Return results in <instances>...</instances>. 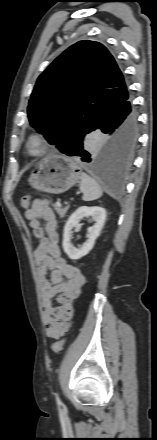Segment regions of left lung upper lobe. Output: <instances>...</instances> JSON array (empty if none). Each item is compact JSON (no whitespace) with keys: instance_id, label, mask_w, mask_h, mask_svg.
I'll list each match as a JSON object with an SVG mask.
<instances>
[{"instance_id":"5c2ea615","label":"left lung upper lobe","mask_w":157,"mask_h":440,"mask_svg":"<svg viewBox=\"0 0 157 440\" xmlns=\"http://www.w3.org/2000/svg\"><path fill=\"white\" fill-rule=\"evenodd\" d=\"M129 94L115 59L102 44L70 46L38 77L27 108L30 125L65 153L99 117Z\"/></svg>"}]
</instances>
